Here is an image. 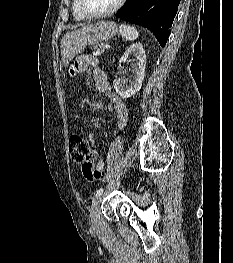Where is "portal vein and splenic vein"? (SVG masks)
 I'll return each instance as SVG.
<instances>
[{
    "instance_id": "18ae733b",
    "label": "portal vein and splenic vein",
    "mask_w": 233,
    "mask_h": 263,
    "mask_svg": "<svg viewBox=\"0 0 233 263\" xmlns=\"http://www.w3.org/2000/svg\"><path fill=\"white\" fill-rule=\"evenodd\" d=\"M101 53H102V52H101L100 50H97V51H94V52H93V55H94V56H99V55H101Z\"/></svg>"
}]
</instances>
